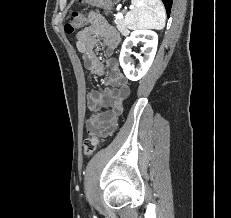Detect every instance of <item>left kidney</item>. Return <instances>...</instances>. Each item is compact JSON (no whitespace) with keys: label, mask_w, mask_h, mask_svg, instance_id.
I'll return each mask as SVG.
<instances>
[{"label":"left kidney","mask_w":231,"mask_h":218,"mask_svg":"<svg viewBox=\"0 0 231 218\" xmlns=\"http://www.w3.org/2000/svg\"><path fill=\"white\" fill-rule=\"evenodd\" d=\"M142 42L144 46L142 48L144 57L138 56L140 66L135 68L133 60L131 58V48L137 43ZM158 45V35L156 32L148 29L134 30L130 37H127L123 42L120 52V65L124 71L126 77L130 80H139L142 78L152 65Z\"/></svg>","instance_id":"obj_1"}]
</instances>
